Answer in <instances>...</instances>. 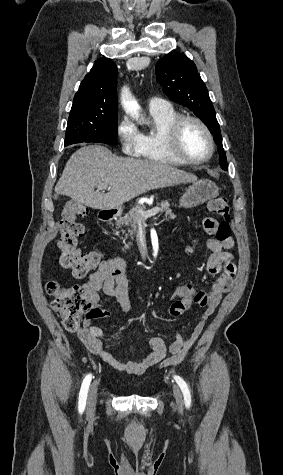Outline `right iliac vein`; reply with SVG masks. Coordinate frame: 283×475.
Returning a JSON list of instances; mask_svg holds the SVG:
<instances>
[{
  "mask_svg": "<svg viewBox=\"0 0 283 475\" xmlns=\"http://www.w3.org/2000/svg\"><path fill=\"white\" fill-rule=\"evenodd\" d=\"M97 383H93L89 389L88 398H87V408L90 415L93 414L95 409V401L97 398Z\"/></svg>",
  "mask_w": 283,
  "mask_h": 475,
  "instance_id": "63e3f726",
  "label": "right iliac vein"
}]
</instances>
